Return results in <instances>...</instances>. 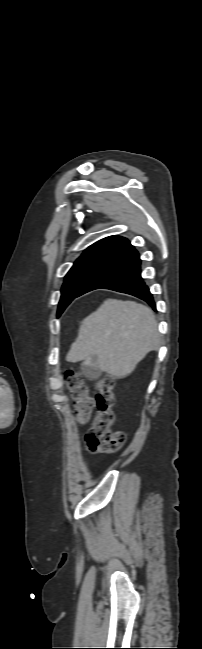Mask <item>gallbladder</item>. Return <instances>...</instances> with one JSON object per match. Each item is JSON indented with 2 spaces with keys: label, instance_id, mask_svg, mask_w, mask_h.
<instances>
[{
  "label": "gallbladder",
  "instance_id": "bac80fb5",
  "mask_svg": "<svg viewBox=\"0 0 202 649\" xmlns=\"http://www.w3.org/2000/svg\"><path fill=\"white\" fill-rule=\"evenodd\" d=\"M95 361H96V356H93L92 363L94 364ZM81 370L84 373V375L90 380L98 379L101 376V370L94 365H85L83 362L81 364Z\"/></svg>",
  "mask_w": 202,
  "mask_h": 649
}]
</instances>
